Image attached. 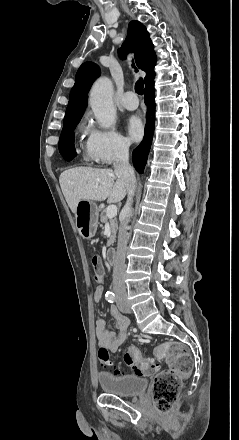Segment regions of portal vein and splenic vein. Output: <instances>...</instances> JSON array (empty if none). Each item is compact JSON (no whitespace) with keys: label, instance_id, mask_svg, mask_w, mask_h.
Instances as JSON below:
<instances>
[{"label":"portal vein and splenic vein","instance_id":"1","mask_svg":"<svg viewBox=\"0 0 239 440\" xmlns=\"http://www.w3.org/2000/svg\"><path fill=\"white\" fill-rule=\"evenodd\" d=\"M106 214L108 218H114V216H117V206H114V204L108 206Z\"/></svg>","mask_w":239,"mask_h":440}]
</instances>
